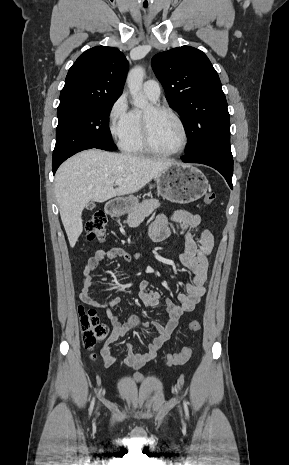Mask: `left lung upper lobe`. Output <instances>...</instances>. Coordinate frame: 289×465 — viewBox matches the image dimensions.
<instances>
[{
	"mask_svg": "<svg viewBox=\"0 0 289 465\" xmlns=\"http://www.w3.org/2000/svg\"><path fill=\"white\" fill-rule=\"evenodd\" d=\"M152 67L169 105L184 121L185 155L212 152L232 157L227 101L207 56L182 46L156 54Z\"/></svg>",
	"mask_w": 289,
	"mask_h": 465,
	"instance_id": "left-lung-upper-lobe-1",
	"label": "left lung upper lobe"
}]
</instances>
